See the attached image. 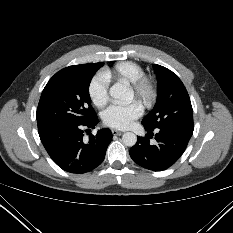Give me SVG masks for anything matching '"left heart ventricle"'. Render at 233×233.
<instances>
[{
  "instance_id": "left-heart-ventricle-1",
  "label": "left heart ventricle",
  "mask_w": 233,
  "mask_h": 233,
  "mask_svg": "<svg viewBox=\"0 0 233 233\" xmlns=\"http://www.w3.org/2000/svg\"><path fill=\"white\" fill-rule=\"evenodd\" d=\"M134 97V93H132V98Z\"/></svg>"
}]
</instances>
